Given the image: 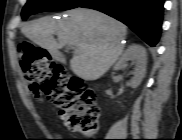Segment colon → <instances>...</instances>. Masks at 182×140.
I'll return each mask as SVG.
<instances>
[{
	"label": "colon",
	"instance_id": "obj_1",
	"mask_svg": "<svg viewBox=\"0 0 182 140\" xmlns=\"http://www.w3.org/2000/svg\"><path fill=\"white\" fill-rule=\"evenodd\" d=\"M17 50L32 93L51 101L69 130L86 136L94 134L99 111L92 89L82 79L71 76L46 50L29 41H20Z\"/></svg>",
	"mask_w": 182,
	"mask_h": 140
}]
</instances>
